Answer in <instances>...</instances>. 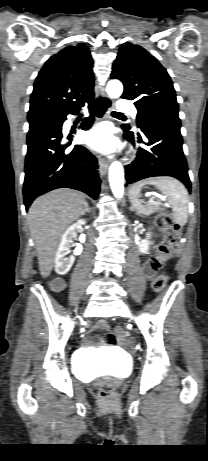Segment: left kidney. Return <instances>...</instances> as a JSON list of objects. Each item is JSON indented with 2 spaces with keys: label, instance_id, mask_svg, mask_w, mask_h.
<instances>
[{
  "label": "left kidney",
  "instance_id": "5707ae66",
  "mask_svg": "<svg viewBox=\"0 0 208 461\" xmlns=\"http://www.w3.org/2000/svg\"><path fill=\"white\" fill-rule=\"evenodd\" d=\"M150 233H147L146 234V239L140 241L138 243V248H139V251L143 254H146L148 252V249H149V245H150Z\"/></svg>",
  "mask_w": 208,
  "mask_h": 461
}]
</instances>
